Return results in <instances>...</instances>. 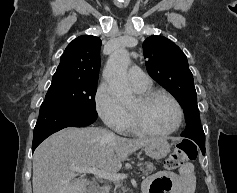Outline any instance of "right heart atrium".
Segmentation results:
<instances>
[{
	"mask_svg": "<svg viewBox=\"0 0 237 193\" xmlns=\"http://www.w3.org/2000/svg\"><path fill=\"white\" fill-rule=\"evenodd\" d=\"M95 107L99 117L108 127L116 132L126 129L129 115L105 84H101L96 90Z\"/></svg>",
	"mask_w": 237,
	"mask_h": 193,
	"instance_id": "1",
	"label": "right heart atrium"
}]
</instances>
